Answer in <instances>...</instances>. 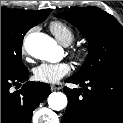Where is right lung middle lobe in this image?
Instances as JSON below:
<instances>
[{
  "label": "right lung middle lobe",
  "mask_w": 123,
  "mask_h": 123,
  "mask_svg": "<svg viewBox=\"0 0 123 123\" xmlns=\"http://www.w3.org/2000/svg\"><path fill=\"white\" fill-rule=\"evenodd\" d=\"M45 16L22 15L17 9L1 8V74L26 70L21 60L22 42L26 32L44 21Z\"/></svg>",
  "instance_id": "1"
}]
</instances>
